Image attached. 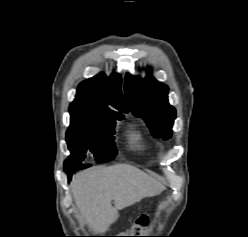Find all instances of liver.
<instances>
[{"instance_id": "obj_1", "label": "liver", "mask_w": 248, "mask_h": 237, "mask_svg": "<svg viewBox=\"0 0 248 237\" xmlns=\"http://www.w3.org/2000/svg\"><path fill=\"white\" fill-rule=\"evenodd\" d=\"M163 189L161 183L130 164L82 171L73 177L71 185L80 218L99 234L105 233L118 219L119 210Z\"/></svg>"}]
</instances>
